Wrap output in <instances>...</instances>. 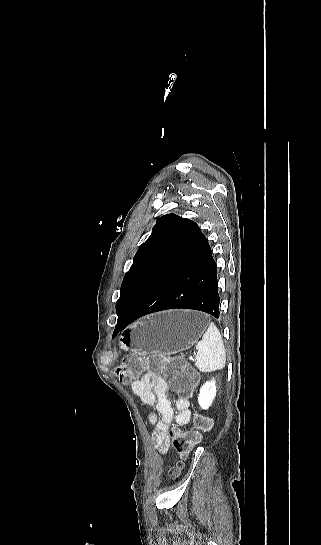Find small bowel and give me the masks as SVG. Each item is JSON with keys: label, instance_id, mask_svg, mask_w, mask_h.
<instances>
[{"label": "small bowel", "instance_id": "obj_1", "mask_svg": "<svg viewBox=\"0 0 321 545\" xmlns=\"http://www.w3.org/2000/svg\"><path fill=\"white\" fill-rule=\"evenodd\" d=\"M134 394L140 397L142 403L151 409L149 421L153 426L152 440L156 449L165 453L169 446L168 427L173 423L186 425L191 417L188 398L174 399L176 411L168 398V382L162 376L143 374L131 384Z\"/></svg>", "mask_w": 321, "mask_h": 545}]
</instances>
